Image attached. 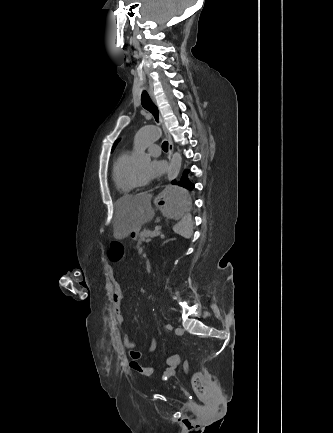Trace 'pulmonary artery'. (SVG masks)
Listing matches in <instances>:
<instances>
[{"mask_svg": "<svg viewBox=\"0 0 333 433\" xmlns=\"http://www.w3.org/2000/svg\"><path fill=\"white\" fill-rule=\"evenodd\" d=\"M148 151L152 154V155H159L160 154V147L158 145H150L148 148Z\"/></svg>", "mask_w": 333, "mask_h": 433, "instance_id": "1", "label": "pulmonary artery"}]
</instances>
